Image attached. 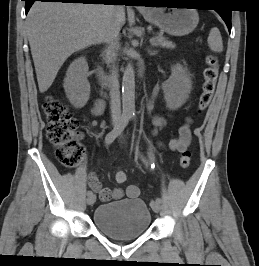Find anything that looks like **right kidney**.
Listing matches in <instances>:
<instances>
[{
  "mask_svg": "<svg viewBox=\"0 0 259 266\" xmlns=\"http://www.w3.org/2000/svg\"><path fill=\"white\" fill-rule=\"evenodd\" d=\"M87 73V61L84 57H79L70 64L64 79L63 86L66 96L70 103L78 109L86 105L90 96Z\"/></svg>",
  "mask_w": 259,
  "mask_h": 266,
  "instance_id": "right-kidney-1",
  "label": "right kidney"
}]
</instances>
